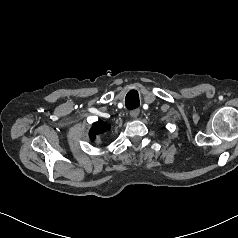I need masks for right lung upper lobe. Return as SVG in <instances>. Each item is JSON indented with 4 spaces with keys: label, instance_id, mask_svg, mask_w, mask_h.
Segmentation results:
<instances>
[{
    "label": "right lung upper lobe",
    "instance_id": "obj_1",
    "mask_svg": "<svg viewBox=\"0 0 238 238\" xmlns=\"http://www.w3.org/2000/svg\"><path fill=\"white\" fill-rule=\"evenodd\" d=\"M110 125L106 124L103 121L95 122L92 126V129L89 132V136L92 140H95L96 136L102 134L109 130Z\"/></svg>",
    "mask_w": 238,
    "mask_h": 238
}]
</instances>
